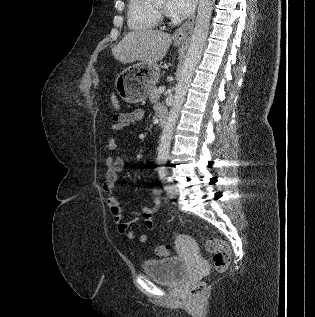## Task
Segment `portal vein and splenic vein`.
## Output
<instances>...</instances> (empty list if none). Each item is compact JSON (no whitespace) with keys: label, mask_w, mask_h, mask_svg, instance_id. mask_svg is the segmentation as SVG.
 I'll return each instance as SVG.
<instances>
[{"label":"portal vein and splenic vein","mask_w":315,"mask_h":317,"mask_svg":"<svg viewBox=\"0 0 315 317\" xmlns=\"http://www.w3.org/2000/svg\"><path fill=\"white\" fill-rule=\"evenodd\" d=\"M165 91V88L164 87H161L160 89H159V92L160 93H163Z\"/></svg>","instance_id":"18ae733b"}]
</instances>
